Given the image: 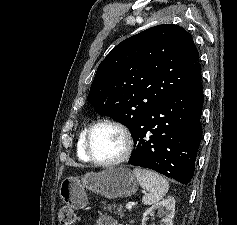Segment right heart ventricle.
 <instances>
[{
    "mask_svg": "<svg viewBox=\"0 0 237 225\" xmlns=\"http://www.w3.org/2000/svg\"><path fill=\"white\" fill-rule=\"evenodd\" d=\"M88 128H89L88 126H84L80 130L78 137H77V145H76L77 157L79 158V160L84 161V162L90 161L84 151V139H85V134H86Z\"/></svg>",
    "mask_w": 237,
    "mask_h": 225,
    "instance_id": "e07e8e85",
    "label": "right heart ventricle"
}]
</instances>
